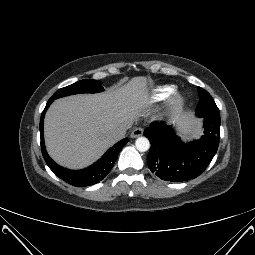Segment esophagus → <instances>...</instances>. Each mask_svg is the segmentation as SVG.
Returning <instances> with one entry per match:
<instances>
[{"label":"esophagus","instance_id":"1","mask_svg":"<svg viewBox=\"0 0 255 255\" xmlns=\"http://www.w3.org/2000/svg\"><path fill=\"white\" fill-rule=\"evenodd\" d=\"M142 134H143V129L142 128H136L131 132L130 137L131 138H137V137L141 136Z\"/></svg>","mask_w":255,"mask_h":255}]
</instances>
